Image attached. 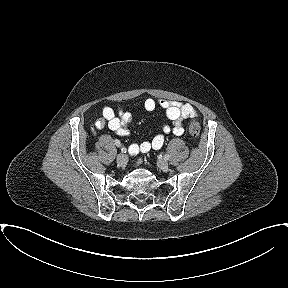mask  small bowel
<instances>
[{"label": "small bowel", "mask_w": 288, "mask_h": 288, "mask_svg": "<svg viewBox=\"0 0 288 288\" xmlns=\"http://www.w3.org/2000/svg\"><path fill=\"white\" fill-rule=\"evenodd\" d=\"M157 107L165 111L167 118L172 122V125H164L162 133L156 134L150 141H143L139 144H132L129 151L132 155L139 153H147L150 150H159L165 143V135L173 133L180 136L184 133L183 122L187 118H193L198 115L196 109L189 103H182L169 100H154L148 98L144 102V108L147 111H153ZM132 115L127 111L119 109L117 112L109 107L102 108L101 116L96 120V127L102 129L107 126L110 130L115 132L118 136H125L129 134L127 125L131 122Z\"/></svg>", "instance_id": "c3829d8e"}]
</instances>
